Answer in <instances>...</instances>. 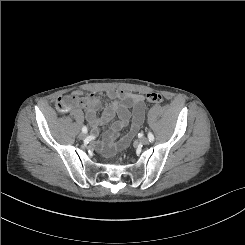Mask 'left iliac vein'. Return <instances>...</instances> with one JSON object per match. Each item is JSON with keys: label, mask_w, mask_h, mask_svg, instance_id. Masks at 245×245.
<instances>
[{"label": "left iliac vein", "mask_w": 245, "mask_h": 245, "mask_svg": "<svg viewBox=\"0 0 245 245\" xmlns=\"http://www.w3.org/2000/svg\"><path fill=\"white\" fill-rule=\"evenodd\" d=\"M140 142H141L142 144H144V145H147V144H149L150 140H149L147 137H142V138L140 139Z\"/></svg>", "instance_id": "obj_1"}]
</instances>
